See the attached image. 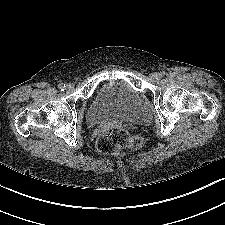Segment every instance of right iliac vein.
Wrapping results in <instances>:
<instances>
[{"label":"right iliac vein","instance_id":"obj_1","mask_svg":"<svg viewBox=\"0 0 225 225\" xmlns=\"http://www.w3.org/2000/svg\"><path fill=\"white\" fill-rule=\"evenodd\" d=\"M73 88H74V86H73V84H71V83H69V84L66 85V90H67V91H72Z\"/></svg>","mask_w":225,"mask_h":225}]
</instances>
